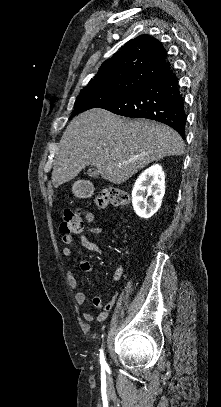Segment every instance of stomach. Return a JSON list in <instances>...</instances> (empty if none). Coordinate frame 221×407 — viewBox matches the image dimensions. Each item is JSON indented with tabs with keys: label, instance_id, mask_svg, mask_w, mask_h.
I'll return each instance as SVG.
<instances>
[{
	"label": "stomach",
	"instance_id": "0dacf381",
	"mask_svg": "<svg viewBox=\"0 0 221 407\" xmlns=\"http://www.w3.org/2000/svg\"><path fill=\"white\" fill-rule=\"evenodd\" d=\"M73 190H74V192L76 193V195H78V196H82V195H83V191H82V188H81L79 182H77V183L74 184Z\"/></svg>",
	"mask_w": 221,
	"mask_h": 407
}]
</instances>
